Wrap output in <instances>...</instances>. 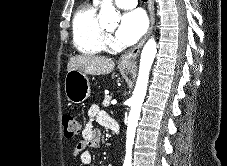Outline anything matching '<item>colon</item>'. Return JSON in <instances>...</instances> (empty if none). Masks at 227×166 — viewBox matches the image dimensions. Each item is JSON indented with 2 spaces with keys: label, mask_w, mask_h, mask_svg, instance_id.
Listing matches in <instances>:
<instances>
[{
  "label": "colon",
  "mask_w": 227,
  "mask_h": 166,
  "mask_svg": "<svg viewBox=\"0 0 227 166\" xmlns=\"http://www.w3.org/2000/svg\"><path fill=\"white\" fill-rule=\"evenodd\" d=\"M62 125L66 138H72L80 131L78 118L74 115H64L62 118Z\"/></svg>",
  "instance_id": "1"
}]
</instances>
